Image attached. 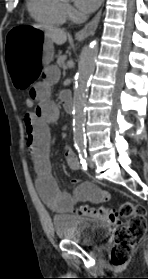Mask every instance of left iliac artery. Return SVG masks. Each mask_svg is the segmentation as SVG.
<instances>
[{
	"label": "left iliac artery",
	"mask_w": 148,
	"mask_h": 279,
	"mask_svg": "<svg viewBox=\"0 0 148 279\" xmlns=\"http://www.w3.org/2000/svg\"><path fill=\"white\" fill-rule=\"evenodd\" d=\"M79 153L80 162L82 165L83 170H87V152L86 147H79L77 148Z\"/></svg>",
	"instance_id": "left-iliac-artery-1"
}]
</instances>
